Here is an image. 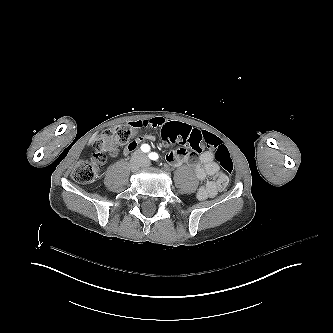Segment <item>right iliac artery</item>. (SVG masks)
Wrapping results in <instances>:
<instances>
[{
    "instance_id": "right-iliac-artery-1",
    "label": "right iliac artery",
    "mask_w": 333,
    "mask_h": 333,
    "mask_svg": "<svg viewBox=\"0 0 333 333\" xmlns=\"http://www.w3.org/2000/svg\"><path fill=\"white\" fill-rule=\"evenodd\" d=\"M141 150H142L143 152H149V150H150V146H149L148 144H143V145L141 146Z\"/></svg>"
}]
</instances>
